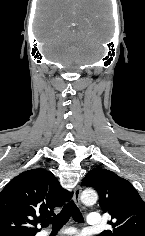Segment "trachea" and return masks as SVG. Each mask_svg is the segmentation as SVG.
Returning <instances> with one entry per match:
<instances>
[{"label": "trachea", "instance_id": "obj_1", "mask_svg": "<svg viewBox=\"0 0 145 236\" xmlns=\"http://www.w3.org/2000/svg\"><path fill=\"white\" fill-rule=\"evenodd\" d=\"M70 216L78 223H83L84 221L82 213L73 201L66 204L58 215L50 218L48 221L52 224L53 229H60L67 223Z\"/></svg>", "mask_w": 145, "mask_h": 236}]
</instances>
